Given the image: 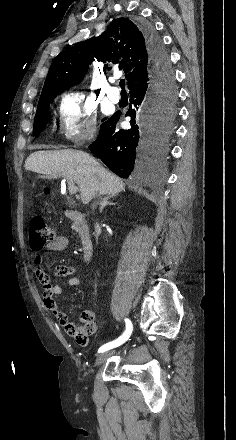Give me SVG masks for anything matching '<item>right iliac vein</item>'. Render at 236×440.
Wrapping results in <instances>:
<instances>
[{
  "label": "right iliac vein",
  "instance_id": "1",
  "mask_svg": "<svg viewBox=\"0 0 236 440\" xmlns=\"http://www.w3.org/2000/svg\"><path fill=\"white\" fill-rule=\"evenodd\" d=\"M115 351L114 350H112V351H110V352H105V353H102V354H100L98 357H97V359H96V361H95V366H100L110 355H112L113 353H114Z\"/></svg>",
  "mask_w": 236,
  "mask_h": 440
}]
</instances>
